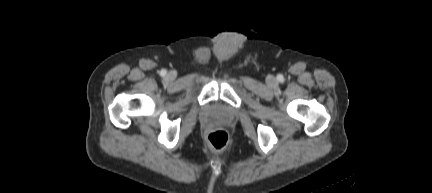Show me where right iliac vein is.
I'll list each match as a JSON object with an SVG mask.
<instances>
[{
	"instance_id": "63e3f726",
	"label": "right iliac vein",
	"mask_w": 432,
	"mask_h": 193,
	"mask_svg": "<svg viewBox=\"0 0 432 193\" xmlns=\"http://www.w3.org/2000/svg\"><path fill=\"white\" fill-rule=\"evenodd\" d=\"M167 79H168V80H174V79H175V74H174L173 72H169V73L167 74Z\"/></svg>"
}]
</instances>
